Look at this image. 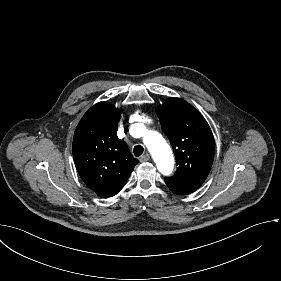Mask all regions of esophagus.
Listing matches in <instances>:
<instances>
[{
  "label": "esophagus",
  "instance_id": "1",
  "mask_svg": "<svg viewBox=\"0 0 281 281\" xmlns=\"http://www.w3.org/2000/svg\"><path fill=\"white\" fill-rule=\"evenodd\" d=\"M150 159V155L146 153L145 155L141 156L140 162H146Z\"/></svg>",
  "mask_w": 281,
  "mask_h": 281
}]
</instances>
